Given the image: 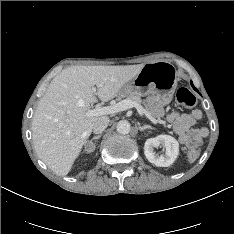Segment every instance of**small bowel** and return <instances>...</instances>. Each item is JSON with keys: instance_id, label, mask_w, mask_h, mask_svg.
Masks as SVG:
<instances>
[{"instance_id": "small-bowel-1", "label": "small bowel", "mask_w": 234, "mask_h": 234, "mask_svg": "<svg viewBox=\"0 0 234 234\" xmlns=\"http://www.w3.org/2000/svg\"><path fill=\"white\" fill-rule=\"evenodd\" d=\"M151 115L155 118L163 115V110L154 97L148 98ZM202 117L200 110L195 109L191 113L181 114L172 111L167 114V121L174 127L181 144L191 147L202 142L208 135V129L205 127L195 128L196 123Z\"/></svg>"}]
</instances>
